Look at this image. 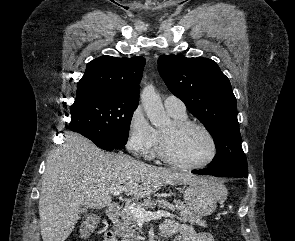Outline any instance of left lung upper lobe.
<instances>
[{"label": "left lung upper lobe", "mask_w": 295, "mask_h": 241, "mask_svg": "<svg viewBox=\"0 0 295 241\" xmlns=\"http://www.w3.org/2000/svg\"><path fill=\"white\" fill-rule=\"evenodd\" d=\"M158 70L169 90L212 135L217 154L208 168L247 177L236 98L217 63L202 57L162 55Z\"/></svg>", "instance_id": "left-lung-upper-lobe-1"}]
</instances>
